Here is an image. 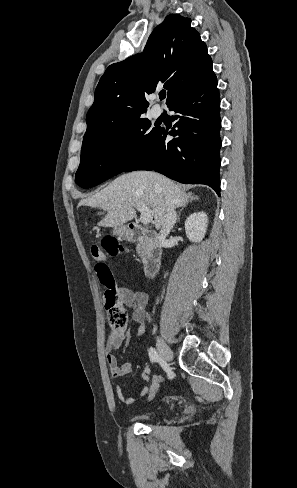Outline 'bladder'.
I'll return each mask as SVG.
<instances>
[{"mask_svg":"<svg viewBox=\"0 0 297 488\" xmlns=\"http://www.w3.org/2000/svg\"><path fill=\"white\" fill-rule=\"evenodd\" d=\"M155 418L156 415L153 414H138L131 417V419L135 421H151Z\"/></svg>","mask_w":297,"mask_h":488,"instance_id":"31cf9c89","label":"bladder"}]
</instances>
